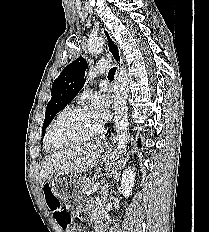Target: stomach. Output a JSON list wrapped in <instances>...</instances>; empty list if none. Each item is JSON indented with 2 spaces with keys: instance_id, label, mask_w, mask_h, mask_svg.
Instances as JSON below:
<instances>
[{
  "instance_id": "stomach-1",
  "label": "stomach",
  "mask_w": 209,
  "mask_h": 232,
  "mask_svg": "<svg viewBox=\"0 0 209 232\" xmlns=\"http://www.w3.org/2000/svg\"><path fill=\"white\" fill-rule=\"evenodd\" d=\"M101 151L109 153L111 147L106 145ZM82 182L83 179L76 176V171H59V174L54 176L51 189L57 199H78Z\"/></svg>"
}]
</instances>
